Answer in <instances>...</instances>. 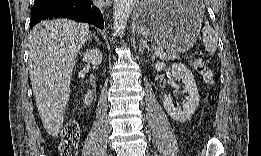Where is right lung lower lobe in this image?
<instances>
[{
    "mask_svg": "<svg viewBox=\"0 0 261 156\" xmlns=\"http://www.w3.org/2000/svg\"><path fill=\"white\" fill-rule=\"evenodd\" d=\"M53 17L87 22L100 29L104 28L101 11L91 0H35L31 11V27Z\"/></svg>",
    "mask_w": 261,
    "mask_h": 156,
    "instance_id": "98d812e1",
    "label": "right lung lower lobe"
}]
</instances>
